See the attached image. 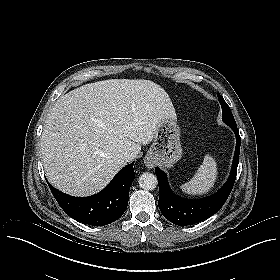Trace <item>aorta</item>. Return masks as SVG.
I'll return each instance as SVG.
<instances>
[{"label": "aorta", "instance_id": "aorta-1", "mask_svg": "<svg viewBox=\"0 0 280 280\" xmlns=\"http://www.w3.org/2000/svg\"><path fill=\"white\" fill-rule=\"evenodd\" d=\"M139 186L144 190H154L157 187V177L149 172L143 173L139 177Z\"/></svg>", "mask_w": 280, "mask_h": 280}]
</instances>
